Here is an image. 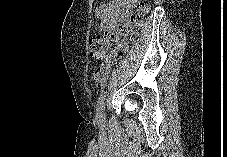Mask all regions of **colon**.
<instances>
[{
    "label": "colon",
    "mask_w": 227,
    "mask_h": 157,
    "mask_svg": "<svg viewBox=\"0 0 227 157\" xmlns=\"http://www.w3.org/2000/svg\"><path fill=\"white\" fill-rule=\"evenodd\" d=\"M136 8V12L130 17L122 40L117 43L111 52H109V40L107 37L96 36L90 41L91 56L97 61H102L94 77L98 86L105 84L113 65L124 55L129 44L137 38L150 5L146 0H138Z\"/></svg>",
    "instance_id": "obj_1"
}]
</instances>
